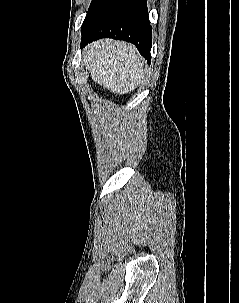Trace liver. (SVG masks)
<instances>
[{"label":"liver","mask_w":239,"mask_h":303,"mask_svg":"<svg viewBox=\"0 0 239 303\" xmlns=\"http://www.w3.org/2000/svg\"><path fill=\"white\" fill-rule=\"evenodd\" d=\"M83 62L92 80L112 93L123 95L141 84L146 61L130 43L101 39L87 46Z\"/></svg>","instance_id":"1"}]
</instances>
